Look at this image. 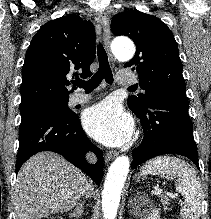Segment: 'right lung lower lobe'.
I'll return each instance as SVG.
<instances>
[{
  "mask_svg": "<svg viewBox=\"0 0 211 219\" xmlns=\"http://www.w3.org/2000/svg\"><path fill=\"white\" fill-rule=\"evenodd\" d=\"M98 158L94 165L85 159L87 151ZM41 151H53L86 172L99 185L103 177V154L87 138L79 117L74 112L63 114L46 112L21 121L16 173L32 155Z\"/></svg>",
  "mask_w": 211,
  "mask_h": 219,
  "instance_id": "right-lung-lower-lobe-1",
  "label": "right lung lower lobe"
}]
</instances>
